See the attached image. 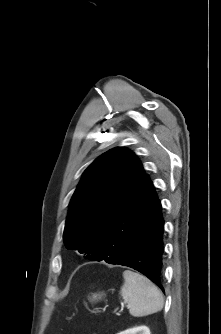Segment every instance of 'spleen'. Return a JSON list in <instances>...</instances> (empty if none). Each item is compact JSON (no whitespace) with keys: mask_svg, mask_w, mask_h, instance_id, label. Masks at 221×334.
<instances>
[{"mask_svg":"<svg viewBox=\"0 0 221 334\" xmlns=\"http://www.w3.org/2000/svg\"><path fill=\"white\" fill-rule=\"evenodd\" d=\"M123 278L124 284L120 294L127 303L131 315L142 317L163 308V295L149 279L130 270L123 272Z\"/></svg>","mask_w":221,"mask_h":334,"instance_id":"obj_1","label":"spleen"}]
</instances>
